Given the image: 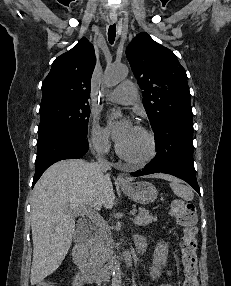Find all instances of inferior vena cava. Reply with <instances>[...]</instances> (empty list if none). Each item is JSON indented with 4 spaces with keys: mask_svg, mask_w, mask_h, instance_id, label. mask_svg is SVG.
<instances>
[{
    "mask_svg": "<svg viewBox=\"0 0 231 286\" xmlns=\"http://www.w3.org/2000/svg\"><path fill=\"white\" fill-rule=\"evenodd\" d=\"M95 151L97 152L98 156L97 164L101 167L102 170H109L111 168L110 163L104 159L102 148L100 146H95Z\"/></svg>",
    "mask_w": 231,
    "mask_h": 286,
    "instance_id": "602c4592",
    "label": "inferior vena cava"
}]
</instances>
